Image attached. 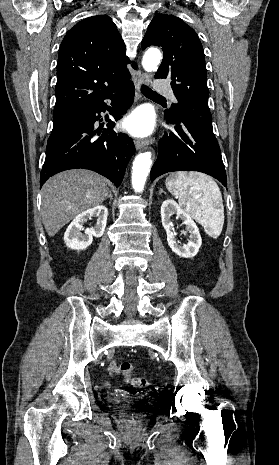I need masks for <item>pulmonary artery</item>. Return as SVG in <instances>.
I'll use <instances>...</instances> for the list:
<instances>
[{"mask_svg": "<svg viewBox=\"0 0 279 465\" xmlns=\"http://www.w3.org/2000/svg\"><path fill=\"white\" fill-rule=\"evenodd\" d=\"M156 91L160 94H164L169 96L173 101H176L175 97L173 96V93L170 89V87L166 84L163 83H158L156 85Z\"/></svg>", "mask_w": 279, "mask_h": 465, "instance_id": "1", "label": "pulmonary artery"}]
</instances>
